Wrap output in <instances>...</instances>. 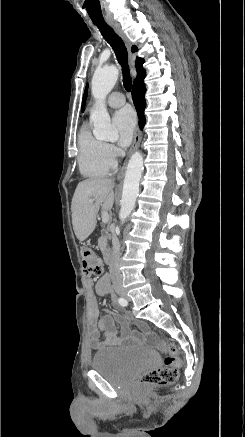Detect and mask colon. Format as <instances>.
<instances>
[{
    "mask_svg": "<svg viewBox=\"0 0 245 437\" xmlns=\"http://www.w3.org/2000/svg\"><path fill=\"white\" fill-rule=\"evenodd\" d=\"M82 271L85 276L100 275L103 272V262L90 248L81 251ZM159 349L167 353L165 366L144 373L140 377V383L144 386H165L172 384L178 378V372L182 365L177 347L165 340L159 344Z\"/></svg>",
    "mask_w": 245,
    "mask_h": 437,
    "instance_id": "1",
    "label": "colon"
}]
</instances>
